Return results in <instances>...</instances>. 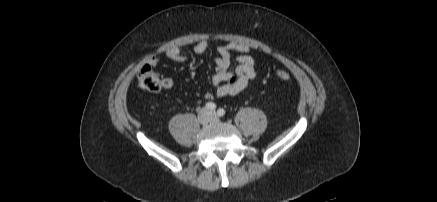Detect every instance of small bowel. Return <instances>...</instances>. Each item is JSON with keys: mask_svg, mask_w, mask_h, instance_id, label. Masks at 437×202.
I'll list each match as a JSON object with an SVG mask.
<instances>
[{"mask_svg": "<svg viewBox=\"0 0 437 202\" xmlns=\"http://www.w3.org/2000/svg\"><path fill=\"white\" fill-rule=\"evenodd\" d=\"M208 42L203 40L194 47L196 54L206 51ZM251 48L246 43L228 42L218 46L217 55L213 58L215 73L212 76L214 92H206L205 98L212 100L214 97H225L239 94L249 84V81L256 77V61L250 54ZM232 53H236L233 65ZM163 55L171 62L183 63L190 58L184 54L178 46L170 47L163 51ZM159 58H152L150 63L156 65ZM173 85L171 79H163V88L169 89Z\"/></svg>", "mask_w": 437, "mask_h": 202, "instance_id": "obj_1", "label": "small bowel"}]
</instances>
